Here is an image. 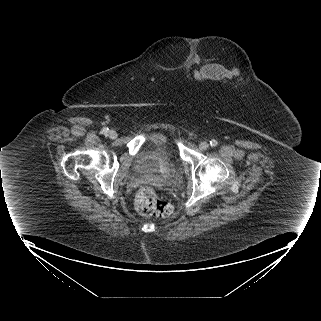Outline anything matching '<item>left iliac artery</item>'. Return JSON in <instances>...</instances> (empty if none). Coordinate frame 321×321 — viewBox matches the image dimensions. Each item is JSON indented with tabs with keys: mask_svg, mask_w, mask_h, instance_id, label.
<instances>
[{
	"mask_svg": "<svg viewBox=\"0 0 321 321\" xmlns=\"http://www.w3.org/2000/svg\"><path fill=\"white\" fill-rule=\"evenodd\" d=\"M217 144H218V142H217L215 139H212V140L210 141V145H211L212 147L217 146Z\"/></svg>",
	"mask_w": 321,
	"mask_h": 321,
	"instance_id": "obj_1",
	"label": "left iliac artery"
}]
</instances>
